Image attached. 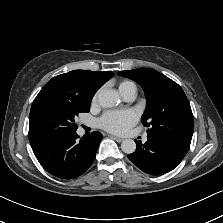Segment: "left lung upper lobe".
Segmentation results:
<instances>
[{"instance_id":"1","label":"left lung upper lobe","mask_w":223,"mask_h":223,"mask_svg":"<svg viewBox=\"0 0 223 223\" xmlns=\"http://www.w3.org/2000/svg\"><path fill=\"white\" fill-rule=\"evenodd\" d=\"M140 84L147 107L141 118L150 127L147 134H156L191 143L194 118L183 89L167 76L151 68L118 72Z\"/></svg>"}]
</instances>
